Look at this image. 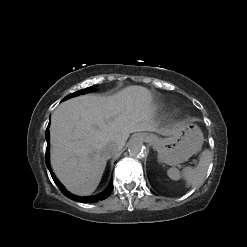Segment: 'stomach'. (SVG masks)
Segmentation results:
<instances>
[{
  "label": "stomach",
  "mask_w": 247,
  "mask_h": 247,
  "mask_svg": "<svg viewBox=\"0 0 247 247\" xmlns=\"http://www.w3.org/2000/svg\"><path fill=\"white\" fill-rule=\"evenodd\" d=\"M204 141L201 129L193 122L179 123L166 138L153 137L160 162L177 165L197 153Z\"/></svg>",
  "instance_id": "obj_1"
}]
</instances>
